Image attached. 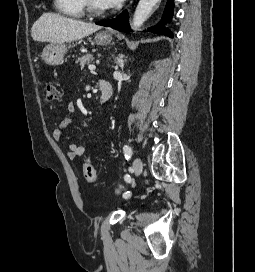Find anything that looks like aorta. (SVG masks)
<instances>
[{"mask_svg": "<svg viewBox=\"0 0 255 272\" xmlns=\"http://www.w3.org/2000/svg\"><path fill=\"white\" fill-rule=\"evenodd\" d=\"M160 0H140L132 21V29L138 30L143 23L148 19V17L153 12L154 7L158 4Z\"/></svg>", "mask_w": 255, "mask_h": 272, "instance_id": "obj_1", "label": "aorta"}]
</instances>
